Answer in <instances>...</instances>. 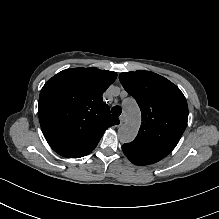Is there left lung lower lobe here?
<instances>
[{"label":"left lung lower lobe","instance_id":"0a47b994","mask_svg":"<svg viewBox=\"0 0 219 219\" xmlns=\"http://www.w3.org/2000/svg\"><path fill=\"white\" fill-rule=\"evenodd\" d=\"M124 154L126 155V157L133 163V164H136V165H147V164H144L142 162H140L139 160L135 159L134 157H132L130 154L124 152Z\"/></svg>","mask_w":219,"mask_h":219}]
</instances>
